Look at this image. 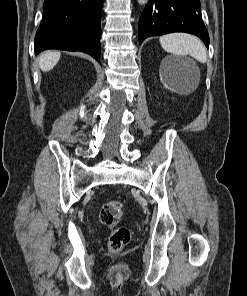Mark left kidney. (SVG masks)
<instances>
[{
    "mask_svg": "<svg viewBox=\"0 0 247 296\" xmlns=\"http://www.w3.org/2000/svg\"><path fill=\"white\" fill-rule=\"evenodd\" d=\"M166 69L169 72V75L178 76V75H184L185 74V66L179 59L176 58H167L165 60ZM163 81L165 82V87H168L169 80L165 76L163 78ZM170 89V88H169Z\"/></svg>",
    "mask_w": 247,
    "mask_h": 296,
    "instance_id": "obj_1",
    "label": "left kidney"
}]
</instances>
